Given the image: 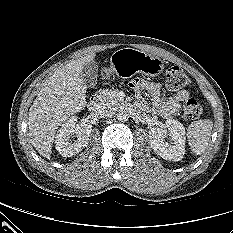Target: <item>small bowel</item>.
Instances as JSON below:
<instances>
[{"instance_id":"c3829d8e","label":"small bowel","mask_w":233,"mask_h":233,"mask_svg":"<svg viewBox=\"0 0 233 233\" xmlns=\"http://www.w3.org/2000/svg\"><path fill=\"white\" fill-rule=\"evenodd\" d=\"M131 86L137 92L145 91L150 96V102L142 98L138 99L136 106L139 110L149 111L165 118L173 117L178 112L180 103L189 98V92L187 90H180L168 98H163L161 85L147 80L137 79Z\"/></svg>"}]
</instances>
